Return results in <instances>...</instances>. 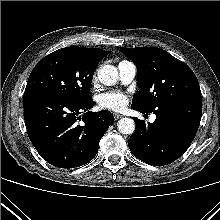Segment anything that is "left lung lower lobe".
Instances as JSON below:
<instances>
[{
  "mask_svg": "<svg viewBox=\"0 0 220 220\" xmlns=\"http://www.w3.org/2000/svg\"><path fill=\"white\" fill-rule=\"evenodd\" d=\"M152 112L156 115L154 123L146 124L134 118L136 130L128 145L141 161L164 166L181 157L192 143L201 120L202 97H182L164 103Z\"/></svg>",
  "mask_w": 220,
  "mask_h": 220,
  "instance_id": "obj_1",
  "label": "left lung lower lobe"
}]
</instances>
